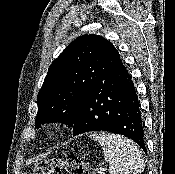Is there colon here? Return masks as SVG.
I'll return each instance as SVG.
<instances>
[{
  "instance_id": "5ec220e1",
  "label": "colon",
  "mask_w": 175,
  "mask_h": 174,
  "mask_svg": "<svg viewBox=\"0 0 175 174\" xmlns=\"http://www.w3.org/2000/svg\"><path fill=\"white\" fill-rule=\"evenodd\" d=\"M62 170L69 174H95L91 165L76 155H69L63 160L52 159L39 162L31 174H58Z\"/></svg>"
}]
</instances>
